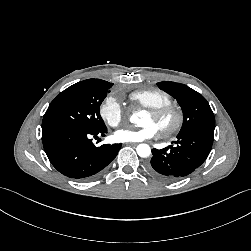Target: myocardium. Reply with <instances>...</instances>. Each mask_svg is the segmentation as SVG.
<instances>
[{
  "label": "myocardium",
  "mask_w": 251,
  "mask_h": 251,
  "mask_svg": "<svg viewBox=\"0 0 251 251\" xmlns=\"http://www.w3.org/2000/svg\"><path fill=\"white\" fill-rule=\"evenodd\" d=\"M148 113L156 120L171 118V123L159 129L160 135L169 137L176 134L182 127L184 116L181 109L173 104L165 105L159 108H150Z\"/></svg>",
  "instance_id": "f54148a6"
}]
</instances>
